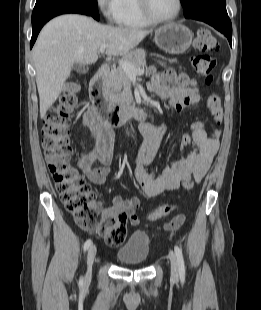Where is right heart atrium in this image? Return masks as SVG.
I'll return each instance as SVG.
<instances>
[{
  "instance_id": "right-heart-atrium-1",
  "label": "right heart atrium",
  "mask_w": 261,
  "mask_h": 310,
  "mask_svg": "<svg viewBox=\"0 0 261 310\" xmlns=\"http://www.w3.org/2000/svg\"><path fill=\"white\" fill-rule=\"evenodd\" d=\"M96 5L108 22L115 23L117 21L120 0H96Z\"/></svg>"
}]
</instances>
